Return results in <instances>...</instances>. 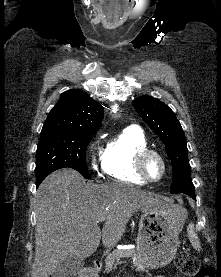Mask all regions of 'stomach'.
Here are the masks:
<instances>
[{"label":"stomach","instance_id":"obj_1","mask_svg":"<svg viewBox=\"0 0 221 277\" xmlns=\"http://www.w3.org/2000/svg\"><path fill=\"white\" fill-rule=\"evenodd\" d=\"M185 218L186 211L177 205L142 210L136 251L144 268H161L173 260Z\"/></svg>","mask_w":221,"mask_h":277}]
</instances>
